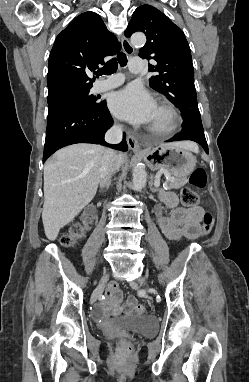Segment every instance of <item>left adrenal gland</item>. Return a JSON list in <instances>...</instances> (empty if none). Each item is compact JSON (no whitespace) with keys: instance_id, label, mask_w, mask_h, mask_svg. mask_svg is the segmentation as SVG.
<instances>
[{"instance_id":"a2214340","label":"left adrenal gland","mask_w":249,"mask_h":382,"mask_svg":"<svg viewBox=\"0 0 249 382\" xmlns=\"http://www.w3.org/2000/svg\"><path fill=\"white\" fill-rule=\"evenodd\" d=\"M150 179H151V180H150V183H149L150 190H151L152 192H156L157 189L153 187V176H151Z\"/></svg>"}]
</instances>
